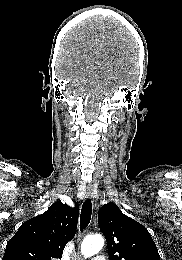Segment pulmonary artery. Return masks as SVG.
<instances>
[{
	"mask_svg": "<svg viewBox=\"0 0 182 260\" xmlns=\"http://www.w3.org/2000/svg\"><path fill=\"white\" fill-rule=\"evenodd\" d=\"M92 260H106L104 256L102 255H97L96 257H94Z\"/></svg>",
	"mask_w": 182,
	"mask_h": 260,
	"instance_id": "pulmonary-artery-1",
	"label": "pulmonary artery"
}]
</instances>
